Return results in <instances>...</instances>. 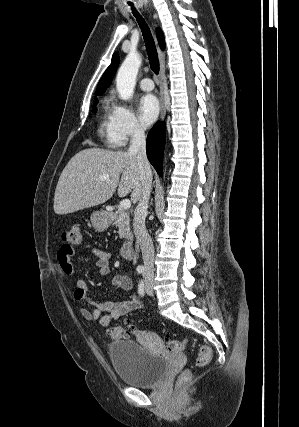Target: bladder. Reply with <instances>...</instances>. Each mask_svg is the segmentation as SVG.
<instances>
[{
    "mask_svg": "<svg viewBox=\"0 0 299 427\" xmlns=\"http://www.w3.org/2000/svg\"><path fill=\"white\" fill-rule=\"evenodd\" d=\"M109 357L116 375L126 384L149 388L166 375V357L152 354L135 340H119L109 345Z\"/></svg>",
    "mask_w": 299,
    "mask_h": 427,
    "instance_id": "bladder-1",
    "label": "bladder"
}]
</instances>
